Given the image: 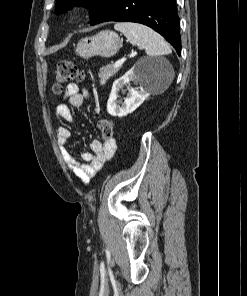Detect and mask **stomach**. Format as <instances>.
<instances>
[{
    "label": "stomach",
    "mask_w": 247,
    "mask_h": 296,
    "mask_svg": "<svg viewBox=\"0 0 247 296\" xmlns=\"http://www.w3.org/2000/svg\"><path fill=\"white\" fill-rule=\"evenodd\" d=\"M121 47L119 36L110 30H104L90 37L82 38L76 47L77 54L83 59L93 56L109 58L114 56Z\"/></svg>",
    "instance_id": "stomach-1"
}]
</instances>
